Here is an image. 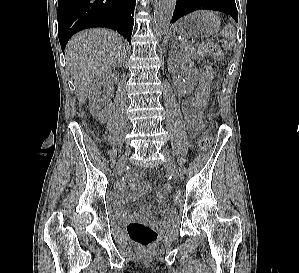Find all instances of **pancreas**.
<instances>
[{"mask_svg":"<svg viewBox=\"0 0 299 273\" xmlns=\"http://www.w3.org/2000/svg\"><path fill=\"white\" fill-rule=\"evenodd\" d=\"M182 50L190 57H192L193 59H197L199 56H201L202 54L199 53L197 51L196 48H194L193 45L189 44V43H183L181 45Z\"/></svg>","mask_w":299,"mask_h":273,"instance_id":"cf45deb5","label":"pancreas"}]
</instances>
